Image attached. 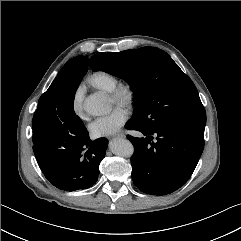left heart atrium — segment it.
Returning a JSON list of instances; mask_svg holds the SVG:
<instances>
[{"label":"left heart atrium","instance_id":"1","mask_svg":"<svg viewBox=\"0 0 241 241\" xmlns=\"http://www.w3.org/2000/svg\"><path fill=\"white\" fill-rule=\"evenodd\" d=\"M128 114L121 105L116 106L108 115L95 119L89 126L92 137L99 138L114 135L127 121Z\"/></svg>","mask_w":241,"mask_h":241}]
</instances>
